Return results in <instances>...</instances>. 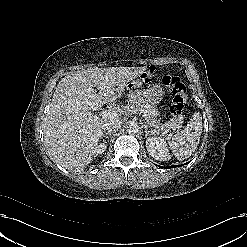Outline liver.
Here are the masks:
<instances>
[{
	"mask_svg": "<svg viewBox=\"0 0 247 247\" xmlns=\"http://www.w3.org/2000/svg\"><path fill=\"white\" fill-rule=\"evenodd\" d=\"M145 70L146 66L93 67L62 78L44 120V142L50 159L71 171H81L91 163L104 124L120 118L99 117L92 111L120 98L128 83Z\"/></svg>",
	"mask_w": 247,
	"mask_h": 247,
	"instance_id": "obj_1",
	"label": "liver"
}]
</instances>
